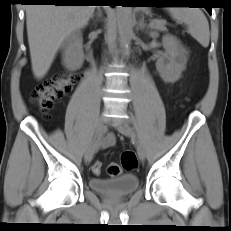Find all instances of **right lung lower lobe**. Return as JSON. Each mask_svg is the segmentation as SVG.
I'll list each match as a JSON object with an SVG mask.
<instances>
[{
  "mask_svg": "<svg viewBox=\"0 0 231 231\" xmlns=\"http://www.w3.org/2000/svg\"><path fill=\"white\" fill-rule=\"evenodd\" d=\"M76 0H24L28 3H51L54 5H79L77 2H72Z\"/></svg>",
  "mask_w": 231,
  "mask_h": 231,
  "instance_id": "obj_1",
  "label": "right lung lower lobe"
}]
</instances>
